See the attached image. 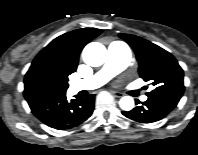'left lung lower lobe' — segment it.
<instances>
[{
    "label": "left lung lower lobe",
    "instance_id": "0a47b994",
    "mask_svg": "<svg viewBox=\"0 0 198 155\" xmlns=\"http://www.w3.org/2000/svg\"><path fill=\"white\" fill-rule=\"evenodd\" d=\"M180 99L173 97H148L140 106L122 112L124 116L140 123H153L164 118L178 104ZM136 104L139 101L136 100Z\"/></svg>",
    "mask_w": 198,
    "mask_h": 155
}]
</instances>
